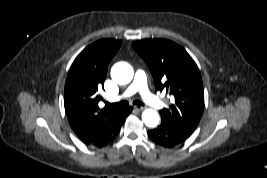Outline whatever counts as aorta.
Returning <instances> with one entry per match:
<instances>
[{
	"label": "aorta",
	"mask_w": 267,
	"mask_h": 178,
	"mask_svg": "<svg viewBox=\"0 0 267 178\" xmlns=\"http://www.w3.org/2000/svg\"><path fill=\"white\" fill-rule=\"evenodd\" d=\"M134 75L133 68L127 62H118L111 69V78L118 84L129 83ZM142 121L148 127H156L159 124L160 117L157 111L146 109L142 113Z\"/></svg>",
	"instance_id": "1"
}]
</instances>
